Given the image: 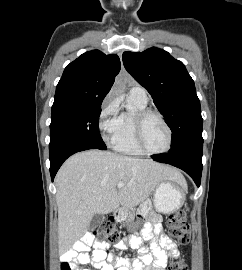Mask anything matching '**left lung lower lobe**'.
Here are the masks:
<instances>
[{"instance_id": "0a47b994", "label": "left lung lower lobe", "mask_w": 242, "mask_h": 270, "mask_svg": "<svg viewBox=\"0 0 242 270\" xmlns=\"http://www.w3.org/2000/svg\"><path fill=\"white\" fill-rule=\"evenodd\" d=\"M203 142L191 144L174 153L152 155L151 157L161 163L171 164L189 174L196 185L200 186L202 174Z\"/></svg>"}]
</instances>
